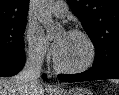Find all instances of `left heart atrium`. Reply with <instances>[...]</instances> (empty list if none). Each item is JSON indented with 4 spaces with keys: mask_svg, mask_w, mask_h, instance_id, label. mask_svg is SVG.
I'll use <instances>...</instances> for the list:
<instances>
[{
    "mask_svg": "<svg viewBox=\"0 0 119 95\" xmlns=\"http://www.w3.org/2000/svg\"><path fill=\"white\" fill-rule=\"evenodd\" d=\"M61 45H62V42H56L52 48V51H53V54L55 56H57V54L59 53L60 49H61Z\"/></svg>",
    "mask_w": 119,
    "mask_h": 95,
    "instance_id": "1",
    "label": "left heart atrium"
}]
</instances>
